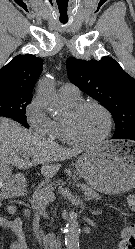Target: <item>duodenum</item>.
Listing matches in <instances>:
<instances>
[{
    "label": "duodenum",
    "instance_id": "duodenum-1",
    "mask_svg": "<svg viewBox=\"0 0 135 249\" xmlns=\"http://www.w3.org/2000/svg\"><path fill=\"white\" fill-rule=\"evenodd\" d=\"M13 192V190L12 189H7V193H12ZM31 191L30 190H26V191H24V195H31Z\"/></svg>",
    "mask_w": 135,
    "mask_h": 249
}]
</instances>
